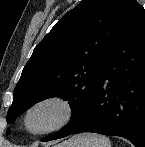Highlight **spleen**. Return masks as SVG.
I'll list each match as a JSON object with an SVG mask.
<instances>
[{"mask_svg":"<svg viewBox=\"0 0 145 147\" xmlns=\"http://www.w3.org/2000/svg\"><path fill=\"white\" fill-rule=\"evenodd\" d=\"M69 147H111V142L106 136L84 133L74 137Z\"/></svg>","mask_w":145,"mask_h":147,"instance_id":"spleen-1","label":"spleen"}]
</instances>
